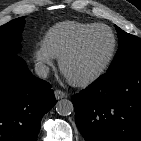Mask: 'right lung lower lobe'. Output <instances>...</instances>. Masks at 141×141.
<instances>
[{"instance_id": "98d812e1", "label": "right lung lower lobe", "mask_w": 141, "mask_h": 141, "mask_svg": "<svg viewBox=\"0 0 141 141\" xmlns=\"http://www.w3.org/2000/svg\"><path fill=\"white\" fill-rule=\"evenodd\" d=\"M55 103L51 85L32 75L22 58H0V141H36Z\"/></svg>"}]
</instances>
